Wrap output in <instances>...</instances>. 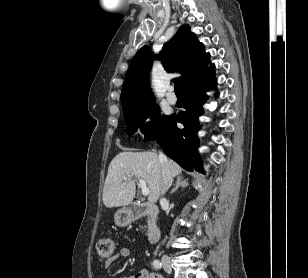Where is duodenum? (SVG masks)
<instances>
[{
	"mask_svg": "<svg viewBox=\"0 0 308 278\" xmlns=\"http://www.w3.org/2000/svg\"><path fill=\"white\" fill-rule=\"evenodd\" d=\"M142 215H148L150 222L148 227V240L155 243L159 240L161 231L158 225V208L152 204L131 203L125 208V218L127 221H133Z\"/></svg>",
	"mask_w": 308,
	"mask_h": 278,
	"instance_id": "duodenum-1",
	"label": "duodenum"
}]
</instances>
